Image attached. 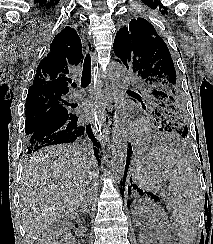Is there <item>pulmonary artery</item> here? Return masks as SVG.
<instances>
[{
	"label": "pulmonary artery",
	"mask_w": 213,
	"mask_h": 244,
	"mask_svg": "<svg viewBox=\"0 0 213 244\" xmlns=\"http://www.w3.org/2000/svg\"><path fill=\"white\" fill-rule=\"evenodd\" d=\"M83 95H84L83 91L74 90L71 94V98H72V100L77 101V100L81 99L83 97Z\"/></svg>",
	"instance_id": "e3ab8cb5"
}]
</instances>
